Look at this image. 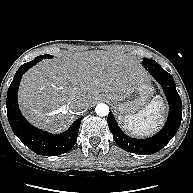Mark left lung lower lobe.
Returning a JSON list of instances; mask_svg holds the SVG:
<instances>
[{
	"instance_id": "1",
	"label": "left lung lower lobe",
	"mask_w": 193,
	"mask_h": 193,
	"mask_svg": "<svg viewBox=\"0 0 193 193\" xmlns=\"http://www.w3.org/2000/svg\"><path fill=\"white\" fill-rule=\"evenodd\" d=\"M142 65L160 83L169 102V116L165 126L155 136L147 139H134L125 135L119 128L112 113L108 115V125L117 145L139 155H150L161 150L177 132L182 119V103L172 76L154 60L147 59Z\"/></svg>"
}]
</instances>
